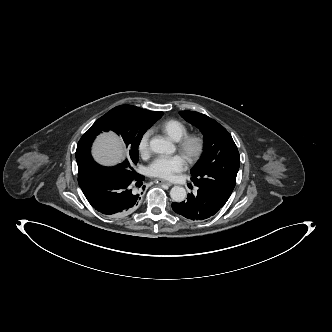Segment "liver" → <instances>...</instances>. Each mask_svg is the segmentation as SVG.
I'll return each mask as SVG.
<instances>
[{
    "label": "liver",
    "instance_id": "6515ba94",
    "mask_svg": "<svg viewBox=\"0 0 332 332\" xmlns=\"http://www.w3.org/2000/svg\"><path fill=\"white\" fill-rule=\"evenodd\" d=\"M92 153L98 163L113 165L123 158L122 142L114 133H104L97 137Z\"/></svg>",
    "mask_w": 332,
    "mask_h": 332
}]
</instances>
